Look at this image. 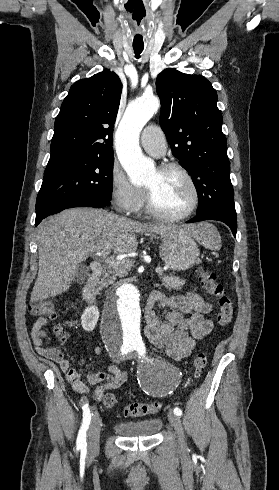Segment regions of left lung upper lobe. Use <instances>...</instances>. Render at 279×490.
I'll list each match as a JSON object with an SVG mask.
<instances>
[{
	"label": "left lung upper lobe",
	"mask_w": 279,
	"mask_h": 490,
	"mask_svg": "<svg viewBox=\"0 0 279 490\" xmlns=\"http://www.w3.org/2000/svg\"><path fill=\"white\" fill-rule=\"evenodd\" d=\"M156 89L161 99L160 125L198 193L197 215L216 211L237 216L216 90L205 77L174 68L158 75Z\"/></svg>",
	"instance_id": "obj_1"
}]
</instances>
